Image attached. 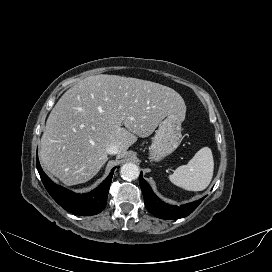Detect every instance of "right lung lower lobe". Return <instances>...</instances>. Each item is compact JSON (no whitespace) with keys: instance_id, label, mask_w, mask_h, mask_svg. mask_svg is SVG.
Instances as JSON below:
<instances>
[{"instance_id":"1","label":"right lung lower lobe","mask_w":272,"mask_h":272,"mask_svg":"<svg viewBox=\"0 0 272 272\" xmlns=\"http://www.w3.org/2000/svg\"><path fill=\"white\" fill-rule=\"evenodd\" d=\"M36 166L46 190L65 210L77 215L89 216L98 214L105 208L113 170L115 168H113L108 177L97 189L86 194H76L51 181V179L43 172L38 158H36Z\"/></svg>"}]
</instances>
